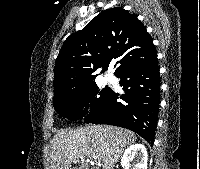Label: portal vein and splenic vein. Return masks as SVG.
<instances>
[{
    "instance_id": "1",
    "label": "portal vein and splenic vein",
    "mask_w": 200,
    "mask_h": 169,
    "mask_svg": "<svg viewBox=\"0 0 200 169\" xmlns=\"http://www.w3.org/2000/svg\"><path fill=\"white\" fill-rule=\"evenodd\" d=\"M88 162H89V160H88ZM96 163H98L99 165H100V162H98V161H95Z\"/></svg>"
}]
</instances>
